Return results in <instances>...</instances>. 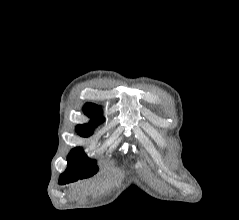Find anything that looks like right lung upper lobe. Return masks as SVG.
Instances as JSON below:
<instances>
[{
	"label": "right lung upper lobe",
	"mask_w": 239,
	"mask_h": 220,
	"mask_svg": "<svg viewBox=\"0 0 239 220\" xmlns=\"http://www.w3.org/2000/svg\"><path fill=\"white\" fill-rule=\"evenodd\" d=\"M84 111L86 115H88L92 119V121L88 125H78V128L93 130L94 127L104 121L102 117V109L98 105L87 103L84 106Z\"/></svg>",
	"instance_id": "cb5924a9"
}]
</instances>
